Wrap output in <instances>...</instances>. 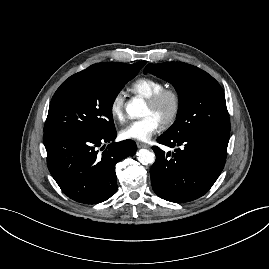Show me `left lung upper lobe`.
Segmentation results:
<instances>
[{"instance_id":"obj_1","label":"left lung upper lobe","mask_w":269,"mask_h":269,"mask_svg":"<svg viewBox=\"0 0 269 269\" xmlns=\"http://www.w3.org/2000/svg\"><path fill=\"white\" fill-rule=\"evenodd\" d=\"M144 73L170 82L178 92L177 119L162 135L177 137L196 130L230 131L223 89L208 73L182 62L148 64Z\"/></svg>"}]
</instances>
